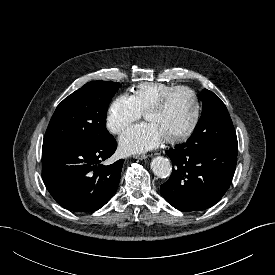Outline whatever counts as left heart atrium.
<instances>
[{
    "instance_id": "obj_1",
    "label": "left heart atrium",
    "mask_w": 275,
    "mask_h": 275,
    "mask_svg": "<svg viewBox=\"0 0 275 275\" xmlns=\"http://www.w3.org/2000/svg\"><path fill=\"white\" fill-rule=\"evenodd\" d=\"M163 136L150 122L137 124L128 129L119 139V146L126 154L145 153L156 148L163 141Z\"/></svg>"
}]
</instances>
